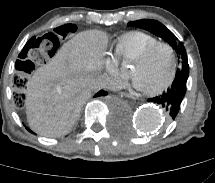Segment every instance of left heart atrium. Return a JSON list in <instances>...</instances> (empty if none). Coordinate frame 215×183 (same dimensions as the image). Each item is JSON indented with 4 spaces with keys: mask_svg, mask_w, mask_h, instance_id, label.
Masks as SVG:
<instances>
[{
    "mask_svg": "<svg viewBox=\"0 0 215 183\" xmlns=\"http://www.w3.org/2000/svg\"><path fill=\"white\" fill-rule=\"evenodd\" d=\"M134 81V85L138 88V89H144L143 86L141 85L140 81L136 78L133 79Z\"/></svg>",
    "mask_w": 215,
    "mask_h": 183,
    "instance_id": "39dd6f15",
    "label": "left heart atrium"
}]
</instances>
